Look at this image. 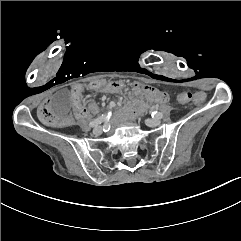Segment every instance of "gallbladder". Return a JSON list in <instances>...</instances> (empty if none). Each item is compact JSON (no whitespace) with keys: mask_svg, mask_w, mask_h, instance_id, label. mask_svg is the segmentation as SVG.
<instances>
[{"mask_svg":"<svg viewBox=\"0 0 241 241\" xmlns=\"http://www.w3.org/2000/svg\"><path fill=\"white\" fill-rule=\"evenodd\" d=\"M74 96L70 90L56 92L53 97V112L57 117L70 115L74 109Z\"/></svg>","mask_w":241,"mask_h":241,"instance_id":"obj_1","label":"gallbladder"}]
</instances>
